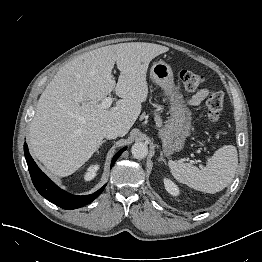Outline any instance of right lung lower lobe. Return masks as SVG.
Instances as JSON below:
<instances>
[{"instance_id": "98d812e1", "label": "right lung lower lobe", "mask_w": 262, "mask_h": 262, "mask_svg": "<svg viewBox=\"0 0 262 262\" xmlns=\"http://www.w3.org/2000/svg\"><path fill=\"white\" fill-rule=\"evenodd\" d=\"M126 149V147L122 148L120 151H118L111 162V166L114 165L116 160L119 158V156L122 154V152ZM24 152H25V158L27 161V165L29 168V172L31 175L32 182L35 186V188L38 190V192L45 197L48 201L58 205L61 208L64 209H75L82 207L90 202H92L95 198H97L102 191L104 190L105 186H103L101 189L96 191L93 194L90 195H84V196H77L72 195L64 190L60 189L58 186H56L36 165L34 160L32 159L31 155L29 154L27 144H24Z\"/></svg>"}]
</instances>
